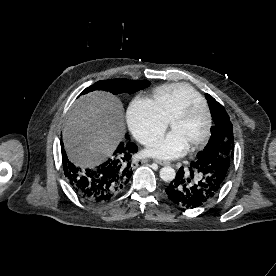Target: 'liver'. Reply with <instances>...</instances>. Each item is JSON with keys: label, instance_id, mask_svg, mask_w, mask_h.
Segmentation results:
<instances>
[{"label": "liver", "instance_id": "1", "mask_svg": "<svg viewBox=\"0 0 276 276\" xmlns=\"http://www.w3.org/2000/svg\"><path fill=\"white\" fill-rule=\"evenodd\" d=\"M121 101L110 93L94 91L77 99L63 127L69 159L81 168H93L116 150L125 131Z\"/></svg>", "mask_w": 276, "mask_h": 276}]
</instances>
